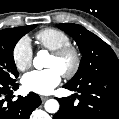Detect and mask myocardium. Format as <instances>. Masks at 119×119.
<instances>
[{
    "instance_id": "f54148a6",
    "label": "myocardium",
    "mask_w": 119,
    "mask_h": 119,
    "mask_svg": "<svg viewBox=\"0 0 119 119\" xmlns=\"http://www.w3.org/2000/svg\"><path fill=\"white\" fill-rule=\"evenodd\" d=\"M51 55L58 58L64 59L67 57L71 58V65L68 69L64 70L61 74L66 78L73 77L79 70L81 64V54L79 50L73 45H66L61 48L55 49L51 52Z\"/></svg>"
}]
</instances>
